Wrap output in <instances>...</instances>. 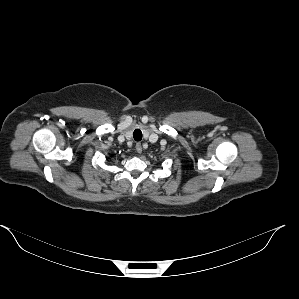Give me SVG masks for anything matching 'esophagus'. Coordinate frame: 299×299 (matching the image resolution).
<instances>
[{"label":"esophagus","mask_w":299,"mask_h":299,"mask_svg":"<svg viewBox=\"0 0 299 299\" xmlns=\"http://www.w3.org/2000/svg\"><path fill=\"white\" fill-rule=\"evenodd\" d=\"M136 152L139 153V154L142 152V146H141V143H137V144H136Z\"/></svg>","instance_id":"1"}]
</instances>
